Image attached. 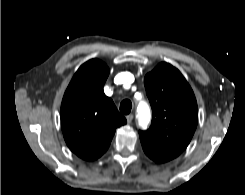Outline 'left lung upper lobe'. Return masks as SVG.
<instances>
[{"instance_id": "left-lung-upper-lobe-1", "label": "left lung upper lobe", "mask_w": 245, "mask_h": 195, "mask_svg": "<svg viewBox=\"0 0 245 195\" xmlns=\"http://www.w3.org/2000/svg\"><path fill=\"white\" fill-rule=\"evenodd\" d=\"M144 84L152 123L147 131H139L140 139L183 152L198 123L197 102L190 85L178 69L164 62L145 76Z\"/></svg>"}]
</instances>
